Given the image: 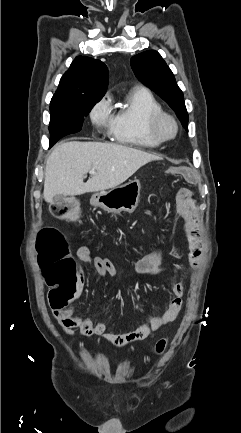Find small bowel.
Here are the masks:
<instances>
[{"label":"small bowel","mask_w":241,"mask_h":433,"mask_svg":"<svg viewBox=\"0 0 241 433\" xmlns=\"http://www.w3.org/2000/svg\"><path fill=\"white\" fill-rule=\"evenodd\" d=\"M178 214L184 219L186 234L189 244L188 262L191 268H196L203 256V243L200 236V221L197 214V207L192 199L191 192L181 188L176 196ZM77 259L83 262H92L95 270L101 277L115 278L116 268L114 264L105 257H94L91 259L88 247L83 246L77 251ZM165 255L159 251L142 259L138 266L141 271L160 273L164 271ZM79 277V290L83 285L82 272L77 267ZM173 298L167 304L162 315L148 317L147 320L132 332L125 334H113L107 332V324L103 321L94 323L91 318L81 317L75 314L73 309L68 308L66 312H55L54 317L63 331L68 336L74 335V330H79L85 337L102 338L116 346H125L137 341L151 339L154 334L174 321L182 307L183 286L177 284L173 288Z\"/></svg>","instance_id":"c3829d8e"}]
</instances>
